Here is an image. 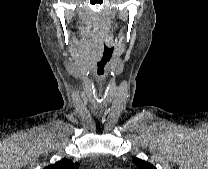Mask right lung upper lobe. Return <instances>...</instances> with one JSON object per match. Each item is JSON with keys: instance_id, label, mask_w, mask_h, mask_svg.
I'll return each instance as SVG.
<instances>
[{"instance_id": "right-lung-upper-lobe-1", "label": "right lung upper lobe", "mask_w": 208, "mask_h": 169, "mask_svg": "<svg viewBox=\"0 0 208 169\" xmlns=\"http://www.w3.org/2000/svg\"><path fill=\"white\" fill-rule=\"evenodd\" d=\"M78 167V163H73L68 159H62L55 164L45 167L44 169H78Z\"/></svg>"}]
</instances>
